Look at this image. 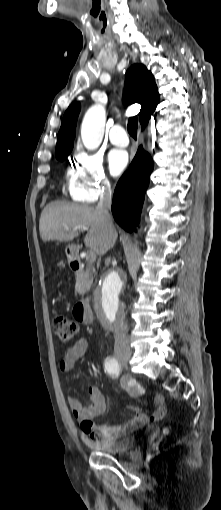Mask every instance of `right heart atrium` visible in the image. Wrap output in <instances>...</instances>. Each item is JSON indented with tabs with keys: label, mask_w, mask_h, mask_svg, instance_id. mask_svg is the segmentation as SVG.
I'll use <instances>...</instances> for the list:
<instances>
[{
	"label": "right heart atrium",
	"mask_w": 221,
	"mask_h": 510,
	"mask_svg": "<svg viewBox=\"0 0 221 510\" xmlns=\"http://www.w3.org/2000/svg\"><path fill=\"white\" fill-rule=\"evenodd\" d=\"M67 190L80 203H93L111 191V181L99 154L79 150L67 175Z\"/></svg>",
	"instance_id": "d8ad5b80"
}]
</instances>
